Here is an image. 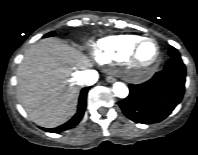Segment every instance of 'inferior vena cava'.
Wrapping results in <instances>:
<instances>
[{
  "label": "inferior vena cava",
  "instance_id": "602c4592",
  "mask_svg": "<svg viewBox=\"0 0 198 155\" xmlns=\"http://www.w3.org/2000/svg\"><path fill=\"white\" fill-rule=\"evenodd\" d=\"M81 82L84 84H94L98 79V72L95 70H86L80 73Z\"/></svg>",
  "mask_w": 198,
  "mask_h": 155
}]
</instances>
